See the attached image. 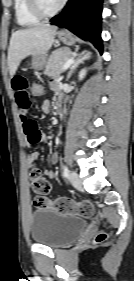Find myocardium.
Wrapping results in <instances>:
<instances>
[{"instance_id":"obj_1","label":"myocardium","mask_w":134,"mask_h":281,"mask_svg":"<svg viewBox=\"0 0 134 281\" xmlns=\"http://www.w3.org/2000/svg\"><path fill=\"white\" fill-rule=\"evenodd\" d=\"M66 0H61L59 4L52 10H46L41 0H28V5L31 11L39 18H50L58 14L65 5Z\"/></svg>"}]
</instances>
